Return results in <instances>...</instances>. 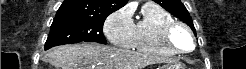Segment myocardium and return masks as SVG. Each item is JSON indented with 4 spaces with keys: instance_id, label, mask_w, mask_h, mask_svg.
<instances>
[{
    "instance_id": "myocardium-1",
    "label": "myocardium",
    "mask_w": 246,
    "mask_h": 69,
    "mask_svg": "<svg viewBox=\"0 0 246 69\" xmlns=\"http://www.w3.org/2000/svg\"><path fill=\"white\" fill-rule=\"evenodd\" d=\"M176 29H182L183 31H185L188 34V36L190 38L189 45H190V47H193L194 46V38H193V34H192L191 30L185 24H183L179 21L168 22L167 24L164 25V27L161 30L162 41L164 42V44L167 47L172 49L174 51V53L185 54V53H187V51L179 48V46H177L174 43V41L172 40L171 35Z\"/></svg>"
}]
</instances>
